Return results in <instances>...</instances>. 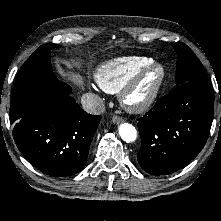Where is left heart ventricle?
Wrapping results in <instances>:
<instances>
[{"label":"left heart ventricle","mask_w":221,"mask_h":221,"mask_svg":"<svg viewBox=\"0 0 221 221\" xmlns=\"http://www.w3.org/2000/svg\"><path fill=\"white\" fill-rule=\"evenodd\" d=\"M158 76V72L157 71H153L151 72L142 82V84L139 86V88L137 89V91L134 94V99H139L141 97H143L146 92L150 89V87L152 86V84L154 83V81L156 80Z\"/></svg>","instance_id":"b2bd125f"}]
</instances>
